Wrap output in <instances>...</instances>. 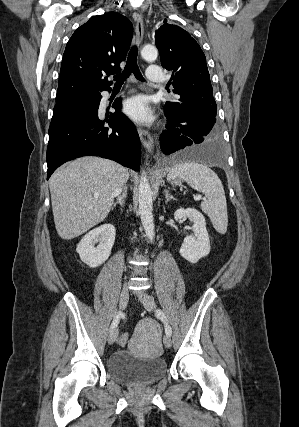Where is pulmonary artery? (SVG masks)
I'll return each instance as SVG.
<instances>
[{
	"label": "pulmonary artery",
	"instance_id": "e3ab8cb5",
	"mask_svg": "<svg viewBox=\"0 0 299 427\" xmlns=\"http://www.w3.org/2000/svg\"><path fill=\"white\" fill-rule=\"evenodd\" d=\"M146 78L152 82H160L163 80V71L160 66L152 65L146 71Z\"/></svg>",
	"mask_w": 299,
	"mask_h": 427
}]
</instances>
